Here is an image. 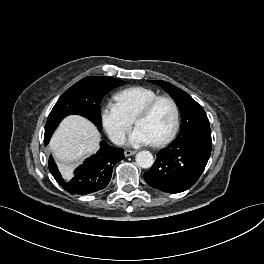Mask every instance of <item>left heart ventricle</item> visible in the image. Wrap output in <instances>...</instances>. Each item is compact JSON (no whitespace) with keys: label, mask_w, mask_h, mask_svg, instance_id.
Wrapping results in <instances>:
<instances>
[{"label":"left heart ventricle","mask_w":264,"mask_h":264,"mask_svg":"<svg viewBox=\"0 0 264 264\" xmlns=\"http://www.w3.org/2000/svg\"><path fill=\"white\" fill-rule=\"evenodd\" d=\"M173 108L168 101L159 102L150 115L137 121L136 126L143 129L152 141L164 137L173 123Z\"/></svg>","instance_id":"b2bd125f"}]
</instances>
